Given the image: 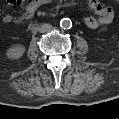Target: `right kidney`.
Wrapping results in <instances>:
<instances>
[{
    "instance_id": "ca27d5eb",
    "label": "right kidney",
    "mask_w": 119,
    "mask_h": 119,
    "mask_svg": "<svg viewBox=\"0 0 119 119\" xmlns=\"http://www.w3.org/2000/svg\"><path fill=\"white\" fill-rule=\"evenodd\" d=\"M25 51V48L21 45H15V46H12L8 52H7V55L11 58V59H18L20 58L23 53Z\"/></svg>"
}]
</instances>
